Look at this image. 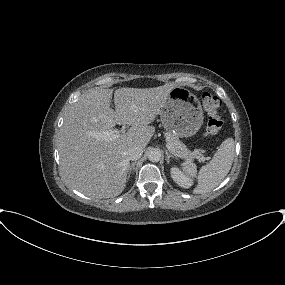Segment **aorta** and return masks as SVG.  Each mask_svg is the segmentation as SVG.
Returning <instances> with one entry per match:
<instances>
[{
	"mask_svg": "<svg viewBox=\"0 0 285 285\" xmlns=\"http://www.w3.org/2000/svg\"><path fill=\"white\" fill-rule=\"evenodd\" d=\"M161 151L159 149L153 148L148 152V159L151 162H159L161 159Z\"/></svg>",
	"mask_w": 285,
	"mask_h": 285,
	"instance_id": "obj_1",
	"label": "aorta"
}]
</instances>
